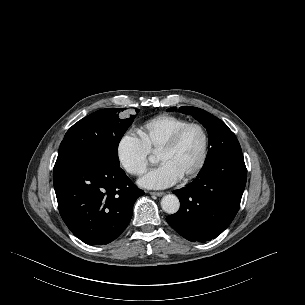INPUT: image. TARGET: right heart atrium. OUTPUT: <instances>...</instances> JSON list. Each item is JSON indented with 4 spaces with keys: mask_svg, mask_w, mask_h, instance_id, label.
Segmentation results:
<instances>
[{
    "mask_svg": "<svg viewBox=\"0 0 305 305\" xmlns=\"http://www.w3.org/2000/svg\"><path fill=\"white\" fill-rule=\"evenodd\" d=\"M116 154L121 166L131 175H141L148 167L150 151L135 133L128 132L120 137Z\"/></svg>",
    "mask_w": 305,
    "mask_h": 305,
    "instance_id": "obj_1",
    "label": "right heart atrium"
}]
</instances>
